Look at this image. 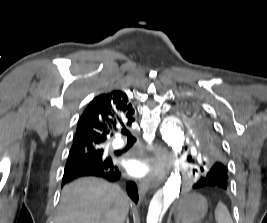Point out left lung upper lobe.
Masks as SVG:
<instances>
[{
    "instance_id": "5c2ea615",
    "label": "left lung upper lobe",
    "mask_w": 267,
    "mask_h": 223,
    "mask_svg": "<svg viewBox=\"0 0 267 223\" xmlns=\"http://www.w3.org/2000/svg\"><path fill=\"white\" fill-rule=\"evenodd\" d=\"M178 112L199 150V156L192 161L195 166L193 171H228L220 137L206 112L190 102L180 103Z\"/></svg>"
}]
</instances>
